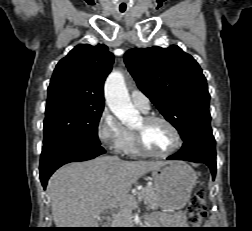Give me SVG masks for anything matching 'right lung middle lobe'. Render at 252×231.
Returning <instances> with one entry per match:
<instances>
[{"label": "right lung middle lobe", "instance_id": "dd1d6c3e", "mask_svg": "<svg viewBox=\"0 0 252 231\" xmlns=\"http://www.w3.org/2000/svg\"><path fill=\"white\" fill-rule=\"evenodd\" d=\"M104 104H91L69 97L47 99L43 148L62 141L100 145L97 135Z\"/></svg>", "mask_w": 252, "mask_h": 231}]
</instances>
